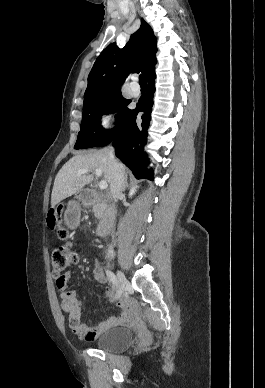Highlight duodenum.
Instances as JSON below:
<instances>
[{"label":"duodenum","instance_id":"410a0bca","mask_svg":"<svg viewBox=\"0 0 265 388\" xmlns=\"http://www.w3.org/2000/svg\"><path fill=\"white\" fill-rule=\"evenodd\" d=\"M79 199L82 204L91 206L98 203L110 202V196L107 194H101L92 189H85L80 192ZM116 219V211L112 205H108L104 211V214L97 227V234L99 236H105L112 228Z\"/></svg>","mask_w":265,"mask_h":388}]
</instances>
